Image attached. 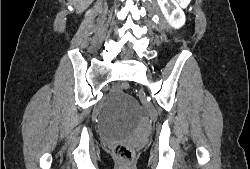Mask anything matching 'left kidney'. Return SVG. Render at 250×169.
<instances>
[{
	"label": "left kidney",
	"mask_w": 250,
	"mask_h": 169,
	"mask_svg": "<svg viewBox=\"0 0 250 169\" xmlns=\"http://www.w3.org/2000/svg\"><path fill=\"white\" fill-rule=\"evenodd\" d=\"M166 20L174 28L185 24L186 16L176 0H157Z\"/></svg>",
	"instance_id": "1"
}]
</instances>
